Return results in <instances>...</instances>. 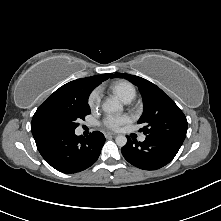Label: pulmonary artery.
<instances>
[{"mask_svg": "<svg viewBox=\"0 0 221 221\" xmlns=\"http://www.w3.org/2000/svg\"><path fill=\"white\" fill-rule=\"evenodd\" d=\"M126 103H129V102H126ZM145 135H142V136H140V138H139V140L141 141V142H143L144 140H145Z\"/></svg>", "mask_w": 221, "mask_h": 221, "instance_id": "1", "label": "pulmonary artery"}]
</instances>
